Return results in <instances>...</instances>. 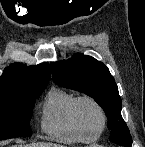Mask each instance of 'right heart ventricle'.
<instances>
[{"instance_id": "e07e8e85", "label": "right heart ventricle", "mask_w": 145, "mask_h": 147, "mask_svg": "<svg viewBox=\"0 0 145 147\" xmlns=\"http://www.w3.org/2000/svg\"><path fill=\"white\" fill-rule=\"evenodd\" d=\"M79 96L64 88L53 87L45 96L40 115L41 130L62 143L91 142L98 137L81 132L73 118L74 104Z\"/></svg>"}]
</instances>
